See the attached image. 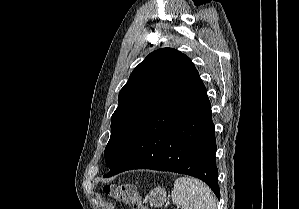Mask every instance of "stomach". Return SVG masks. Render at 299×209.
I'll use <instances>...</instances> for the list:
<instances>
[{
  "instance_id": "stomach-1",
  "label": "stomach",
  "mask_w": 299,
  "mask_h": 209,
  "mask_svg": "<svg viewBox=\"0 0 299 209\" xmlns=\"http://www.w3.org/2000/svg\"><path fill=\"white\" fill-rule=\"evenodd\" d=\"M147 200L151 206L161 207L167 201L165 189L160 186L152 189L147 195Z\"/></svg>"
}]
</instances>
